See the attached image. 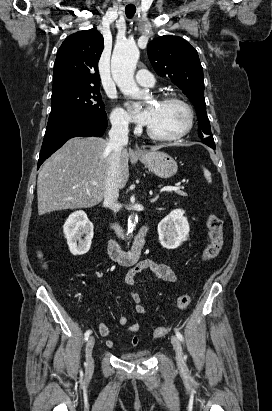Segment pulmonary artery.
I'll use <instances>...</instances> for the list:
<instances>
[{
    "mask_svg": "<svg viewBox=\"0 0 272 411\" xmlns=\"http://www.w3.org/2000/svg\"><path fill=\"white\" fill-rule=\"evenodd\" d=\"M136 81L139 85L144 87H153L155 85L153 75L146 69H140L137 71Z\"/></svg>",
    "mask_w": 272,
    "mask_h": 411,
    "instance_id": "pulmonary-artery-1",
    "label": "pulmonary artery"
}]
</instances>
